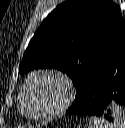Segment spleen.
I'll return each mask as SVG.
<instances>
[{"label":"spleen","instance_id":"3e777b00","mask_svg":"<svg viewBox=\"0 0 125 128\" xmlns=\"http://www.w3.org/2000/svg\"><path fill=\"white\" fill-rule=\"evenodd\" d=\"M88 128H112V125L102 118L90 117Z\"/></svg>","mask_w":125,"mask_h":128}]
</instances>
